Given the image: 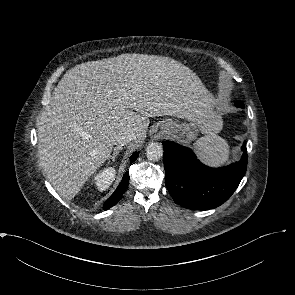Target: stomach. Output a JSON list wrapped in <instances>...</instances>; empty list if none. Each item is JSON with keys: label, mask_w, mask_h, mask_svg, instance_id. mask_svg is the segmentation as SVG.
<instances>
[{"label": "stomach", "mask_w": 295, "mask_h": 295, "mask_svg": "<svg viewBox=\"0 0 295 295\" xmlns=\"http://www.w3.org/2000/svg\"><path fill=\"white\" fill-rule=\"evenodd\" d=\"M208 101L204 103L202 110L187 117L184 122L167 119L159 124L160 129L178 140L189 143L193 141L199 132H203L207 126L217 129L222 128L221 115L216 108L215 98L208 93Z\"/></svg>", "instance_id": "0dacf381"}]
</instances>
